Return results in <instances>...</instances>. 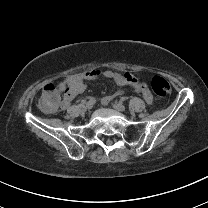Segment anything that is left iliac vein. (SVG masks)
<instances>
[{
	"label": "left iliac vein",
	"instance_id": "left-iliac-vein-1",
	"mask_svg": "<svg viewBox=\"0 0 208 208\" xmlns=\"http://www.w3.org/2000/svg\"><path fill=\"white\" fill-rule=\"evenodd\" d=\"M113 107H114L116 110L121 111V112H123V111L126 110L125 106H124L122 103H117V102H115V103L113 104Z\"/></svg>",
	"mask_w": 208,
	"mask_h": 208
}]
</instances>
